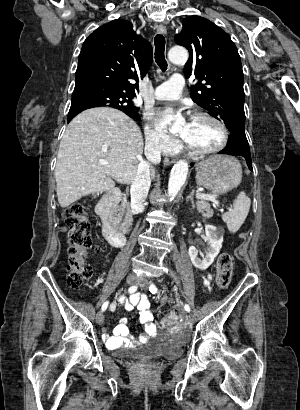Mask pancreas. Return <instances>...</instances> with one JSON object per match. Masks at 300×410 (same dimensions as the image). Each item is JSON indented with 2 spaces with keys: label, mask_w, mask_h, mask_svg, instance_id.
<instances>
[{
  "label": "pancreas",
  "mask_w": 300,
  "mask_h": 410,
  "mask_svg": "<svg viewBox=\"0 0 300 410\" xmlns=\"http://www.w3.org/2000/svg\"><path fill=\"white\" fill-rule=\"evenodd\" d=\"M197 205V210L202 213V216L205 218H211L213 216V210L210 207V204L206 202L205 200H199L196 203ZM124 217V218H123ZM123 218V222L120 226V229L124 232H126L131 225V214L128 211H125V207L123 206L121 208L120 212V219Z\"/></svg>",
  "instance_id": "pancreas-1"
}]
</instances>
